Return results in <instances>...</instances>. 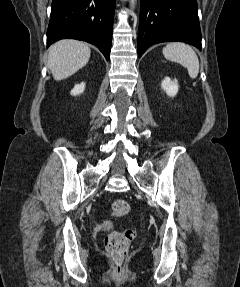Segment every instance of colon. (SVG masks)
I'll return each instance as SVG.
<instances>
[{
    "label": "colon",
    "instance_id": "obj_1",
    "mask_svg": "<svg viewBox=\"0 0 240 287\" xmlns=\"http://www.w3.org/2000/svg\"><path fill=\"white\" fill-rule=\"evenodd\" d=\"M130 205L123 199H118L111 206V214L115 217H122L129 213ZM135 238L133 230L115 231L109 233L104 239L106 252L114 264L120 268L128 254L129 245Z\"/></svg>",
    "mask_w": 240,
    "mask_h": 287
}]
</instances>
